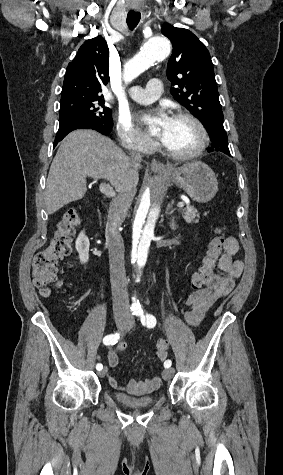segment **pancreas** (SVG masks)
<instances>
[{
	"label": "pancreas",
	"instance_id": "obj_1",
	"mask_svg": "<svg viewBox=\"0 0 283 475\" xmlns=\"http://www.w3.org/2000/svg\"><path fill=\"white\" fill-rule=\"evenodd\" d=\"M181 214H183V218L187 224H193V222H198L199 214L198 210L194 208V206H188V208H183L181 210ZM207 212H205L204 216H206Z\"/></svg>",
	"mask_w": 283,
	"mask_h": 475
}]
</instances>
